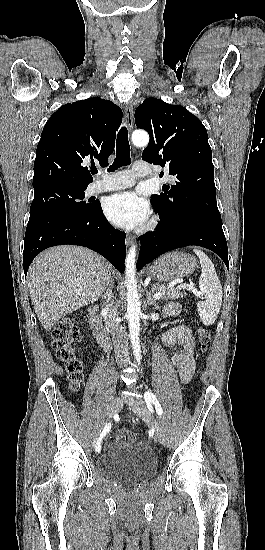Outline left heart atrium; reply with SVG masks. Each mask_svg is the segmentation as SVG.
<instances>
[{
  "label": "left heart atrium",
  "mask_w": 265,
  "mask_h": 550,
  "mask_svg": "<svg viewBox=\"0 0 265 550\" xmlns=\"http://www.w3.org/2000/svg\"><path fill=\"white\" fill-rule=\"evenodd\" d=\"M105 214L116 226L126 229L139 228L148 220L149 206L136 192L126 191L107 200Z\"/></svg>",
  "instance_id": "left-heart-atrium-1"
}]
</instances>
